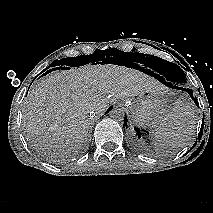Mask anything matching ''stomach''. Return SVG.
<instances>
[{"mask_svg":"<svg viewBox=\"0 0 213 213\" xmlns=\"http://www.w3.org/2000/svg\"><path fill=\"white\" fill-rule=\"evenodd\" d=\"M163 89L155 92L134 95L124 100L133 122L138 127L155 129L158 119L168 111Z\"/></svg>","mask_w":213,"mask_h":213,"instance_id":"1","label":"stomach"}]
</instances>
